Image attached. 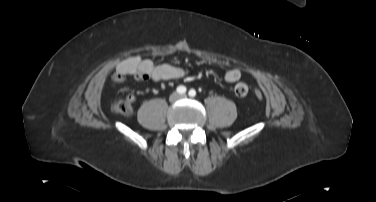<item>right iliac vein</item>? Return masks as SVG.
Segmentation results:
<instances>
[{"instance_id": "right-iliac-vein-1", "label": "right iliac vein", "mask_w": 376, "mask_h": 202, "mask_svg": "<svg viewBox=\"0 0 376 202\" xmlns=\"http://www.w3.org/2000/svg\"><path fill=\"white\" fill-rule=\"evenodd\" d=\"M178 98V95L176 93H173L171 96H170V101L174 102L176 101Z\"/></svg>"}]
</instances>
